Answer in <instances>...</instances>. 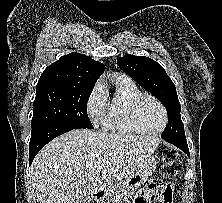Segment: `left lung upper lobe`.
Listing matches in <instances>:
<instances>
[{"label":"left lung upper lobe","mask_w":222,"mask_h":203,"mask_svg":"<svg viewBox=\"0 0 222 203\" xmlns=\"http://www.w3.org/2000/svg\"><path fill=\"white\" fill-rule=\"evenodd\" d=\"M117 63L121 70L159 99L165 106L168 114V125L161 137L170 140L186 139L176 87L164 68L151 58L130 54L118 58Z\"/></svg>","instance_id":"left-lung-upper-lobe-1"}]
</instances>
